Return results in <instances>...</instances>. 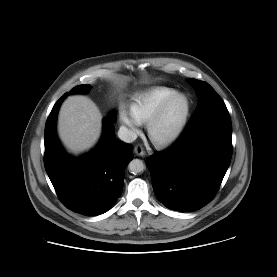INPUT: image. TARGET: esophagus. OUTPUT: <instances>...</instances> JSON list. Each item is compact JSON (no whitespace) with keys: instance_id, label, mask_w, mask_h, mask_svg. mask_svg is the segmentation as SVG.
<instances>
[{"instance_id":"esophagus-1","label":"esophagus","mask_w":277,"mask_h":277,"mask_svg":"<svg viewBox=\"0 0 277 277\" xmlns=\"http://www.w3.org/2000/svg\"><path fill=\"white\" fill-rule=\"evenodd\" d=\"M134 153L137 156H142V157L146 155V152H145L144 148L142 147V145L135 146Z\"/></svg>"}]
</instances>
